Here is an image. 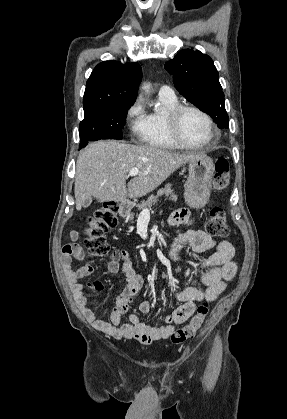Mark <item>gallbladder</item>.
Returning a JSON list of instances; mask_svg holds the SVG:
<instances>
[{
    "label": "gallbladder",
    "instance_id": "obj_1",
    "mask_svg": "<svg viewBox=\"0 0 287 419\" xmlns=\"http://www.w3.org/2000/svg\"><path fill=\"white\" fill-rule=\"evenodd\" d=\"M91 203H92V198L91 197H88L84 202H83V204H82V207L84 208V209H86V208H88L90 205H91Z\"/></svg>",
    "mask_w": 287,
    "mask_h": 419
}]
</instances>
